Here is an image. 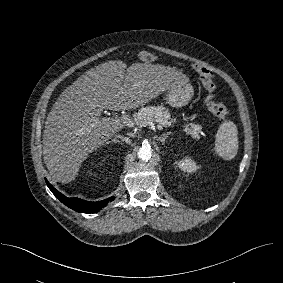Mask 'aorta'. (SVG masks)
<instances>
[{
  "instance_id": "aorta-1",
  "label": "aorta",
  "mask_w": 283,
  "mask_h": 283,
  "mask_svg": "<svg viewBox=\"0 0 283 283\" xmlns=\"http://www.w3.org/2000/svg\"><path fill=\"white\" fill-rule=\"evenodd\" d=\"M152 150L149 146H143L138 151V158L143 161H148L151 159Z\"/></svg>"
}]
</instances>
